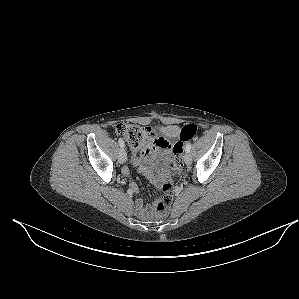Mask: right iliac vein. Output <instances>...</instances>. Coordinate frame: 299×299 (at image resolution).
Segmentation results:
<instances>
[{
  "label": "right iliac vein",
  "instance_id": "63e3f726",
  "mask_svg": "<svg viewBox=\"0 0 299 299\" xmlns=\"http://www.w3.org/2000/svg\"><path fill=\"white\" fill-rule=\"evenodd\" d=\"M127 159V153L124 149L119 152L118 160L121 164L125 163Z\"/></svg>",
  "mask_w": 299,
  "mask_h": 299
}]
</instances>
